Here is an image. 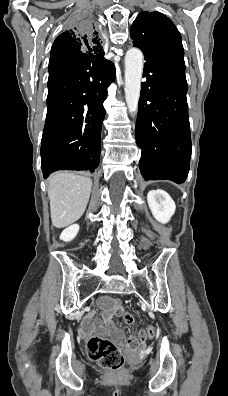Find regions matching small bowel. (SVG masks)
Listing matches in <instances>:
<instances>
[{
  "label": "small bowel",
  "instance_id": "c3829d8e",
  "mask_svg": "<svg viewBox=\"0 0 228 396\" xmlns=\"http://www.w3.org/2000/svg\"><path fill=\"white\" fill-rule=\"evenodd\" d=\"M100 308L103 311V322L102 323L100 320H96L93 323H91L90 319L87 318L84 320L82 323L81 327V334L82 335H87L89 331L93 328L98 329L100 331H107L109 332L114 339L121 343H125L127 348L130 350H133L137 347H142L145 345L146 342V335L144 330H142L139 333L138 338L135 337H129L126 338L121 331H119L113 323V320L115 317H118L122 315L123 313V307L119 303L118 300L110 298V297H105L100 300Z\"/></svg>",
  "mask_w": 228,
  "mask_h": 396
}]
</instances>
